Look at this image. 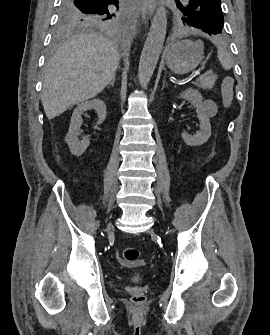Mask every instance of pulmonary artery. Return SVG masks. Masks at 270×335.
<instances>
[{"mask_svg": "<svg viewBox=\"0 0 270 335\" xmlns=\"http://www.w3.org/2000/svg\"><path fill=\"white\" fill-rule=\"evenodd\" d=\"M184 2H185V3H187V2H188V0H184Z\"/></svg>", "mask_w": 270, "mask_h": 335, "instance_id": "e3ab8cb5", "label": "pulmonary artery"}]
</instances>
